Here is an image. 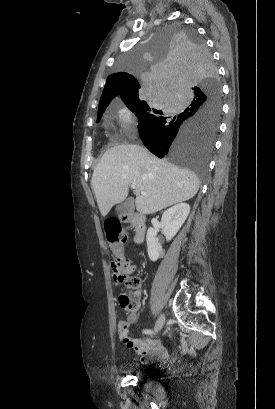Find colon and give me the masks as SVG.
Here are the masks:
<instances>
[{"label": "colon", "mask_w": 275, "mask_h": 409, "mask_svg": "<svg viewBox=\"0 0 275 409\" xmlns=\"http://www.w3.org/2000/svg\"><path fill=\"white\" fill-rule=\"evenodd\" d=\"M104 234L106 241L108 242L111 251L121 256L126 237L121 223L117 219H110L104 225ZM129 256H121L118 261H112L110 267L114 275L120 276L121 283L130 290H136L140 287L141 281L138 277L128 275L130 273V268L125 265L130 264ZM119 301L121 306L127 310L132 316L136 311H139L141 306V296L137 292L123 293L119 295ZM131 323L129 322V325ZM157 347V345H156Z\"/></svg>", "instance_id": "5ec220e1"}]
</instances>
